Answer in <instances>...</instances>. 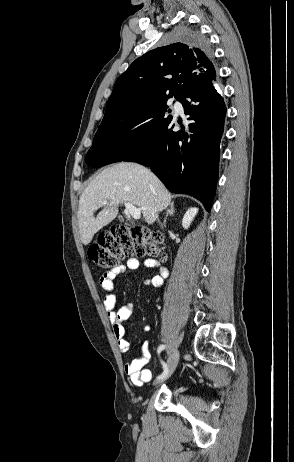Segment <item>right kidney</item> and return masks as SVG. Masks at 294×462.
I'll list each match as a JSON object with an SVG mask.
<instances>
[{"mask_svg": "<svg viewBox=\"0 0 294 462\" xmlns=\"http://www.w3.org/2000/svg\"><path fill=\"white\" fill-rule=\"evenodd\" d=\"M198 212V208H189L184 217H183V220H182V226L184 229H188L190 227V224L191 222L193 221L195 215L197 214Z\"/></svg>", "mask_w": 294, "mask_h": 462, "instance_id": "obj_1", "label": "right kidney"}]
</instances>
